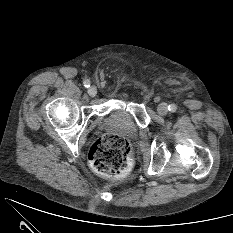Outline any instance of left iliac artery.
<instances>
[{
  "label": "left iliac artery",
  "instance_id": "1",
  "mask_svg": "<svg viewBox=\"0 0 233 233\" xmlns=\"http://www.w3.org/2000/svg\"><path fill=\"white\" fill-rule=\"evenodd\" d=\"M169 111L175 112L177 110V106L175 104H170L168 106Z\"/></svg>",
  "mask_w": 233,
  "mask_h": 233
}]
</instances>
